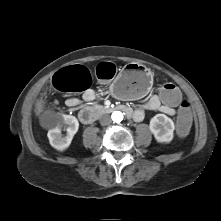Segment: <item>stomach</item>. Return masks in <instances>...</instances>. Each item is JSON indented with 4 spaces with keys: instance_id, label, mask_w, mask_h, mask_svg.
<instances>
[{
    "instance_id": "obj_1",
    "label": "stomach",
    "mask_w": 221,
    "mask_h": 221,
    "mask_svg": "<svg viewBox=\"0 0 221 221\" xmlns=\"http://www.w3.org/2000/svg\"><path fill=\"white\" fill-rule=\"evenodd\" d=\"M153 83L151 71L131 62L118 73L111 84L113 95L121 99L133 100L144 96Z\"/></svg>"
}]
</instances>
